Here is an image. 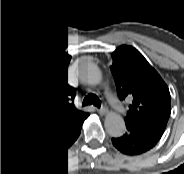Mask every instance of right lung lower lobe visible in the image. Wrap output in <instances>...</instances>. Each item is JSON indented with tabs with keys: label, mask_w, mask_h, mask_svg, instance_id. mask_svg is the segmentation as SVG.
<instances>
[{
	"label": "right lung lower lobe",
	"mask_w": 184,
	"mask_h": 174,
	"mask_svg": "<svg viewBox=\"0 0 184 174\" xmlns=\"http://www.w3.org/2000/svg\"><path fill=\"white\" fill-rule=\"evenodd\" d=\"M86 115L71 124L63 132L46 141L35 143L37 146L51 152L67 150L79 137L81 126Z\"/></svg>",
	"instance_id": "right-lung-lower-lobe-1"
}]
</instances>
